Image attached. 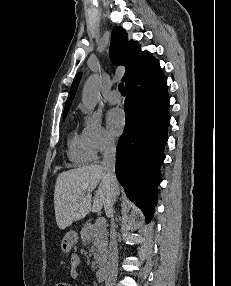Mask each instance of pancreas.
<instances>
[{"instance_id": "cf45deb5", "label": "pancreas", "mask_w": 231, "mask_h": 286, "mask_svg": "<svg viewBox=\"0 0 231 286\" xmlns=\"http://www.w3.org/2000/svg\"><path fill=\"white\" fill-rule=\"evenodd\" d=\"M82 243L89 245L92 243L89 251L94 258L92 268L102 267L106 260L107 255V229L96 227L95 224L86 223L80 231Z\"/></svg>"}]
</instances>
